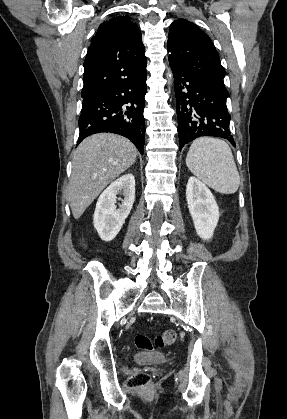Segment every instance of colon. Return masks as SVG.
Segmentation results:
<instances>
[{
  "label": "colon",
  "instance_id": "obj_1",
  "mask_svg": "<svg viewBox=\"0 0 287 419\" xmlns=\"http://www.w3.org/2000/svg\"><path fill=\"white\" fill-rule=\"evenodd\" d=\"M177 334L173 330H167L158 335L154 342L146 335L139 334L135 337V344L138 349L151 351L156 348L173 345L176 342ZM149 375L144 372H138L127 380V386L130 388H140L148 385Z\"/></svg>",
  "mask_w": 287,
  "mask_h": 419
}]
</instances>
